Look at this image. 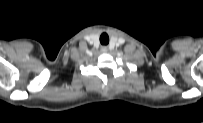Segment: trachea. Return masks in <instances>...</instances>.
<instances>
[{"mask_svg": "<svg viewBox=\"0 0 203 123\" xmlns=\"http://www.w3.org/2000/svg\"><path fill=\"white\" fill-rule=\"evenodd\" d=\"M100 42H101V44H103V45L108 44V42H109V37H108V35L105 34V33L102 34L101 37H100Z\"/></svg>", "mask_w": 203, "mask_h": 123, "instance_id": "1", "label": "trachea"}]
</instances>
